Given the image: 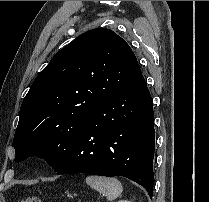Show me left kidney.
<instances>
[{"mask_svg":"<svg viewBox=\"0 0 209 202\" xmlns=\"http://www.w3.org/2000/svg\"><path fill=\"white\" fill-rule=\"evenodd\" d=\"M117 202H131V201H128V200H119Z\"/></svg>","mask_w":209,"mask_h":202,"instance_id":"obj_1","label":"left kidney"}]
</instances>
